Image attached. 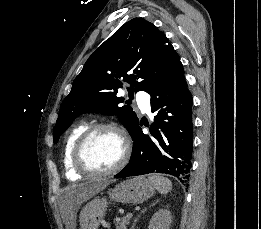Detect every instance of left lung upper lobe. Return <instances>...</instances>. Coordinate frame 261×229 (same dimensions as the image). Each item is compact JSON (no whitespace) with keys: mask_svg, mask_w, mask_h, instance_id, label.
I'll use <instances>...</instances> for the list:
<instances>
[{"mask_svg":"<svg viewBox=\"0 0 261 229\" xmlns=\"http://www.w3.org/2000/svg\"><path fill=\"white\" fill-rule=\"evenodd\" d=\"M179 63V55L157 27L143 18L128 21L88 58L73 81L60 106L54 143L77 116L87 112L116 115L132 135L139 120L130 106L118 107L124 98L117 96L122 88L117 78L131 83L128 91L133 98L134 87L135 92L149 93Z\"/></svg>","mask_w":261,"mask_h":229,"instance_id":"left-lung-upper-lobe-1","label":"left lung upper lobe"}]
</instances>
